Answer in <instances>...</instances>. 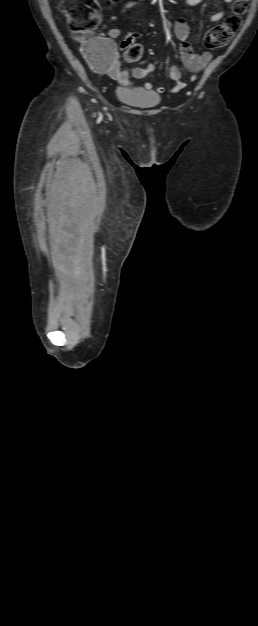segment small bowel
<instances>
[{"label":"small bowel","mask_w":258,"mask_h":626,"mask_svg":"<svg viewBox=\"0 0 258 626\" xmlns=\"http://www.w3.org/2000/svg\"><path fill=\"white\" fill-rule=\"evenodd\" d=\"M202 0H185V3L188 6L198 5ZM233 0H224L226 3H231ZM139 4L138 1L128 2L123 9L121 10V15L125 14L127 11L132 9L133 7ZM224 17L223 11H218L210 15L211 21H219ZM189 26L187 22L183 19H178L174 24V33L176 38L181 42L180 46V54L181 60L187 70L190 72L197 73L201 71L211 60V53L204 52L202 54H196L193 52L190 44L188 43L189 37ZM119 35V30L116 28H112L108 31L109 38L104 40V46L106 48H112L113 42L112 39L116 38ZM157 61L150 63L146 68H134L131 72V75L135 79H143L149 73L154 71L156 68ZM99 68L106 75H108L113 80L117 81L122 86H130V75L127 70L121 68L119 58L116 55L111 57H107L101 61L99 64ZM168 74L170 79L174 82L173 86L169 89L170 93H177L181 91L185 87V82L181 79V71L178 67L173 66L168 70ZM144 88L147 90H152L153 85L151 82H145ZM165 89L163 87H159L156 89V92L162 93Z\"/></svg>","instance_id":"1"}]
</instances>
